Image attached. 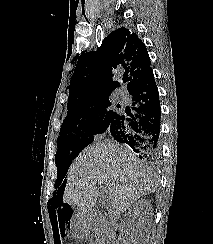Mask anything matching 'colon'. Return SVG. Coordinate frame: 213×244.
Here are the masks:
<instances>
[{
    "label": "colon",
    "instance_id": "5ec220e1",
    "mask_svg": "<svg viewBox=\"0 0 213 244\" xmlns=\"http://www.w3.org/2000/svg\"><path fill=\"white\" fill-rule=\"evenodd\" d=\"M65 244H73L72 242H66Z\"/></svg>",
    "mask_w": 213,
    "mask_h": 244
}]
</instances>
